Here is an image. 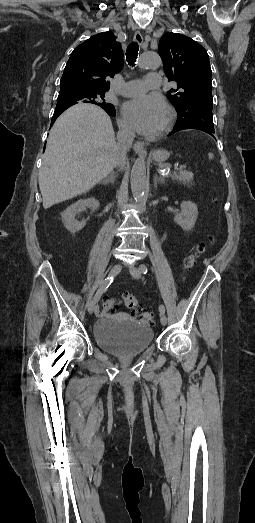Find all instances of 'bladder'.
Listing matches in <instances>:
<instances>
[{
  "mask_svg": "<svg viewBox=\"0 0 255 523\" xmlns=\"http://www.w3.org/2000/svg\"><path fill=\"white\" fill-rule=\"evenodd\" d=\"M93 339L100 349L108 353L128 355L142 352L150 346L153 330L152 327L138 324L131 319L105 316L95 324Z\"/></svg>",
  "mask_w": 255,
  "mask_h": 523,
  "instance_id": "bladder-1",
  "label": "bladder"
}]
</instances>
